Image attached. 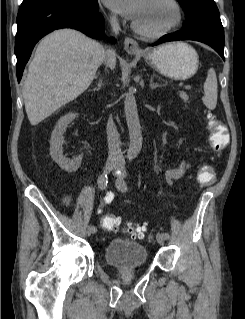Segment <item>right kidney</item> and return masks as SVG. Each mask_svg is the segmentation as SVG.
Listing matches in <instances>:
<instances>
[{
  "label": "right kidney",
  "instance_id": "right-kidney-1",
  "mask_svg": "<svg viewBox=\"0 0 245 319\" xmlns=\"http://www.w3.org/2000/svg\"><path fill=\"white\" fill-rule=\"evenodd\" d=\"M77 113H68L61 117L57 122L50 140V155L51 158L60 166L61 169L67 172H75L80 166L82 156L70 160L63 155L64 133L67 126L77 117Z\"/></svg>",
  "mask_w": 245,
  "mask_h": 319
}]
</instances>
